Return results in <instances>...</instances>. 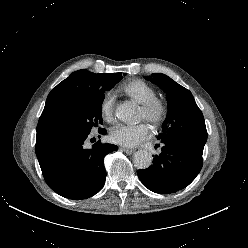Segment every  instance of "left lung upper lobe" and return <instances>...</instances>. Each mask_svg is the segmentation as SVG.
<instances>
[{"instance_id":"left-lung-upper-lobe-1","label":"left lung upper lobe","mask_w":248,"mask_h":248,"mask_svg":"<svg viewBox=\"0 0 248 248\" xmlns=\"http://www.w3.org/2000/svg\"><path fill=\"white\" fill-rule=\"evenodd\" d=\"M145 78L164 90L168 101L167 118L157 139L182 141L203 151L207 141L205 121L191 92L161 73Z\"/></svg>"}]
</instances>
